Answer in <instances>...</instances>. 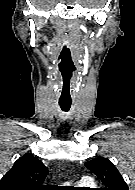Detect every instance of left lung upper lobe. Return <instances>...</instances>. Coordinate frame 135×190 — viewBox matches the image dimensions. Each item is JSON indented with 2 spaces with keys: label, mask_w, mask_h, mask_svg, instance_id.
Instances as JSON below:
<instances>
[{
  "label": "left lung upper lobe",
  "mask_w": 135,
  "mask_h": 190,
  "mask_svg": "<svg viewBox=\"0 0 135 190\" xmlns=\"http://www.w3.org/2000/svg\"><path fill=\"white\" fill-rule=\"evenodd\" d=\"M106 186L102 190H128V186L115 165L106 158H96L85 163Z\"/></svg>",
  "instance_id": "5c2ea615"
}]
</instances>
